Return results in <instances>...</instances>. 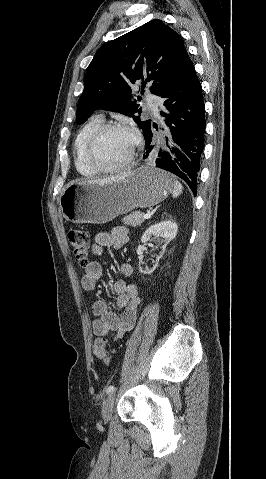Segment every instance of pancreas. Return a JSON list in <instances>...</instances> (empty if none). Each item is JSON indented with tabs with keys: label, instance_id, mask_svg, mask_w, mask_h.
<instances>
[{
	"label": "pancreas",
	"instance_id": "cf45deb5",
	"mask_svg": "<svg viewBox=\"0 0 266 479\" xmlns=\"http://www.w3.org/2000/svg\"><path fill=\"white\" fill-rule=\"evenodd\" d=\"M143 213L140 211L132 212L131 214L125 216L122 221L125 225H130L132 227L140 226L144 222Z\"/></svg>",
	"mask_w": 266,
	"mask_h": 479
}]
</instances>
